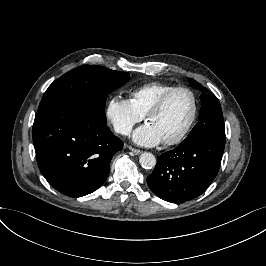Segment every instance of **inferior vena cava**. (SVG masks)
Masks as SVG:
<instances>
[{"label":"inferior vena cava","mask_w":266,"mask_h":266,"mask_svg":"<svg viewBox=\"0 0 266 266\" xmlns=\"http://www.w3.org/2000/svg\"><path fill=\"white\" fill-rule=\"evenodd\" d=\"M131 128L128 126H125L124 128L120 130H116L117 133L123 134V135H129L131 133Z\"/></svg>","instance_id":"1"}]
</instances>
